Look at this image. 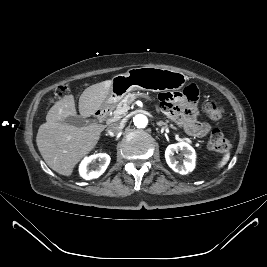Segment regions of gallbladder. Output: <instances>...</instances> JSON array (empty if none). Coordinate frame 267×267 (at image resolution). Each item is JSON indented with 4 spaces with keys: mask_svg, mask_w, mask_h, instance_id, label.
Instances as JSON below:
<instances>
[{
    "mask_svg": "<svg viewBox=\"0 0 267 267\" xmlns=\"http://www.w3.org/2000/svg\"><path fill=\"white\" fill-rule=\"evenodd\" d=\"M62 122L81 128L87 125L88 120L82 116H68Z\"/></svg>",
    "mask_w": 267,
    "mask_h": 267,
    "instance_id": "bac80fb5",
    "label": "gallbladder"
}]
</instances>
